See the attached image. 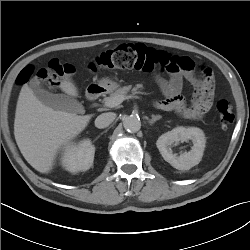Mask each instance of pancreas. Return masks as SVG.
Segmentation results:
<instances>
[{"mask_svg": "<svg viewBox=\"0 0 250 250\" xmlns=\"http://www.w3.org/2000/svg\"><path fill=\"white\" fill-rule=\"evenodd\" d=\"M143 88L142 84H138L135 87H132L131 85L128 86H124L121 88H118L117 90H115L114 92H112L109 97H106L104 99V102H107L108 100L117 97V96H126L128 94L129 91L132 92L133 95L135 94H140L142 93L140 90Z\"/></svg>", "mask_w": 250, "mask_h": 250, "instance_id": "1", "label": "pancreas"}]
</instances>
